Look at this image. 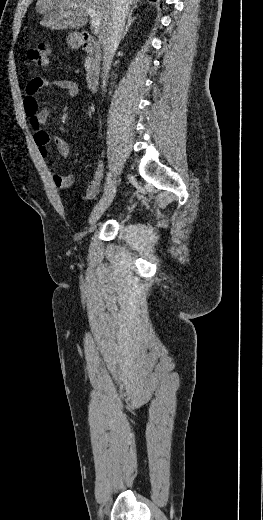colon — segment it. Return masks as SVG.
<instances>
[{"mask_svg": "<svg viewBox=\"0 0 263 520\" xmlns=\"http://www.w3.org/2000/svg\"><path fill=\"white\" fill-rule=\"evenodd\" d=\"M27 55L37 66L46 67L49 64L50 47L46 43H40L30 49Z\"/></svg>", "mask_w": 263, "mask_h": 520, "instance_id": "obj_1", "label": "colon"}]
</instances>
